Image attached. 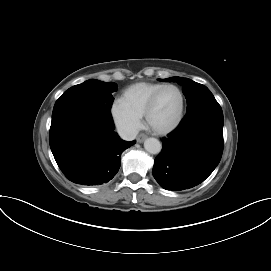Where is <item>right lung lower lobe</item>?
<instances>
[{
  "mask_svg": "<svg viewBox=\"0 0 271 271\" xmlns=\"http://www.w3.org/2000/svg\"><path fill=\"white\" fill-rule=\"evenodd\" d=\"M110 108L103 102L65 106L52 113L49 143L65 176L82 185H100L120 168L121 153L136 141L114 132Z\"/></svg>",
  "mask_w": 271,
  "mask_h": 271,
  "instance_id": "1",
  "label": "right lung lower lobe"
}]
</instances>
